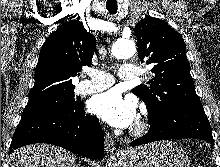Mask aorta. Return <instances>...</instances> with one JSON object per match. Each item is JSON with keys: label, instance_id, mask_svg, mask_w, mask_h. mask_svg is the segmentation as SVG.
I'll return each mask as SVG.
<instances>
[{"label": "aorta", "instance_id": "aorta-1", "mask_svg": "<svg viewBox=\"0 0 220 167\" xmlns=\"http://www.w3.org/2000/svg\"><path fill=\"white\" fill-rule=\"evenodd\" d=\"M136 52V46L134 41L118 40L112 46V54L117 59H128L132 57Z\"/></svg>", "mask_w": 220, "mask_h": 167}]
</instances>
